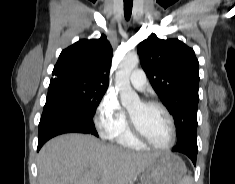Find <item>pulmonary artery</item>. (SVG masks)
Listing matches in <instances>:
<instances>
[{"instance_id":"obj_1","label":"pulmonary artery","mask_w":235,"mask_h":184,"mask_svg":"<svg viewBox=\"0 0 235 184\" xmlns=\"http://www.w3.org/2000/svg\"><path fill=\"white\" fill-rule=\"evenodd\" d=\"M129 81L132 86L139 91H143L148 84L145 72L140 69L134 70L130 73Z\"/></svg>"}]
</instances>
